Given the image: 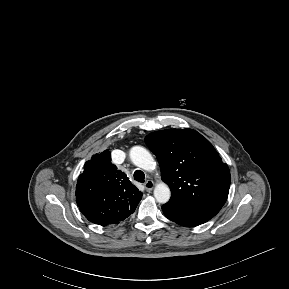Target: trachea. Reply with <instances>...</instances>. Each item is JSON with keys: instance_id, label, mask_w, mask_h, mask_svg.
Listing matches in <instances>:
<instances>
[{"instance_id": "1", "label": "trachea", "mask_w": 289, "mask_h": 289, "mask_svg": "<svg viewBox=\"0 0 289 289\" xmlns=\"http://www.w3.org/2000/svg\"><path fill=\"white\" fill-rule=\"evenodd\" d=\"M134 179L138 182H145V174L141 170H136L133 174Z\"/></svg>"}]
</instances>
